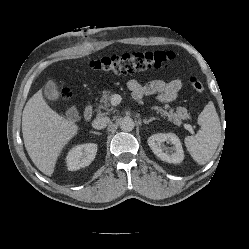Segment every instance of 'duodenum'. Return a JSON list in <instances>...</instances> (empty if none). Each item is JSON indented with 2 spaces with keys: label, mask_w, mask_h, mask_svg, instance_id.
<instances>
[{
  "label": "duodenum",
  "mask_w": 249,
  "mask_h": 249,
  "mask_svg": "<svg viewBox=\"0 0 249 249\" xmlns=\"http://www.w3.org/2000/svg\"><path fill=\"white\" fill-rule=\"evenodd\" d=\"M94 115V107L92 104H87L83 111V117L86 121H90Z\"/></svg>",
  "instance_id": "obj_1"
}]
</instances>
